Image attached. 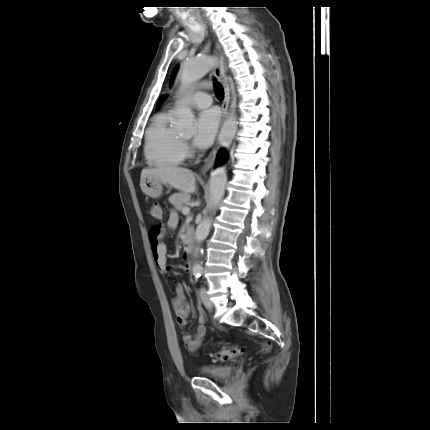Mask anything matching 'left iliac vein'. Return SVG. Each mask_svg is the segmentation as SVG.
<instances>
[{
    "instance_id": "obj_1",
    "label": "left iliac vein",
    "mask_w": 430,
    "mask_h": 430,
    "mask_svg": "<svg viewBox=\"0 0 430 430\" xmlns=\"http://www.w3.org/2000/svg\"><path fill=\"white\" fill-rule=\"evenodd\" d=\"M200 296H201V299H202V302H203V304H204V306L208 309V310H212L213 309V303H212V301L210 300V297H209V295L207 294V290H206V288L205 287H202L201 289H200Z\"/></svg>"
}]
</instances>
